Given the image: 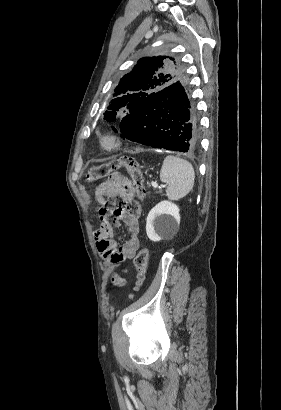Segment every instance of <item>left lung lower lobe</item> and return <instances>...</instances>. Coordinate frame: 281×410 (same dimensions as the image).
<instances>
[{
    "label": "left lung lower lobe",
    "mask_w": 281,
    "mask_h": 410,
    "mask_svg": "<svg viewBox=\"0 0 281 410\" xmlns=\"http://www.w3.org/2000/svg\"><path fill=\"white\" fill-rule=\"evenodd\" d=\"M120 128L127 139L153 148L194 152L200 143L198 117L185 80L155 93L143 110L125 116Z\"/></svg>",
    "instance_id": "1"
}]
</instances>
